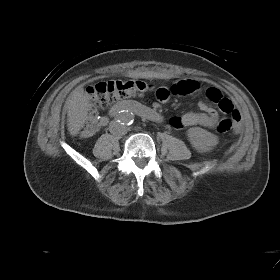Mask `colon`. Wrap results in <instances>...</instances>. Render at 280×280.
Here are the masks:
<instances>
[{
    "mask_svg": "<svg viewBox=\"0 0 280 280\" xmlns=\"http://www.w3.org/2000/svg\"><path fill=\"white\" fill-rule=\"evenodd\" d=\"M151 89V85L143 81L121 79L101 82L88 88V95L93 100L95 107L87 119V129L93 130L98 124L97 108L105 107L117 100L148 92ZM156 93L160 99H167L168 97V93L165 90H160ZM206 96L226 114H229V117L223 118L218 123L216 131L225 133L232 130L234 133H239L241 130V116L238 111L232 108V102L229 99L223 98L220 91L215 88H209L206 91Z\"/></svg>",
    "mask_w": 280,
    "mask_h": 280,
    "instance_id": "obj_1",
    "label": "colon"
}]
</instances>
